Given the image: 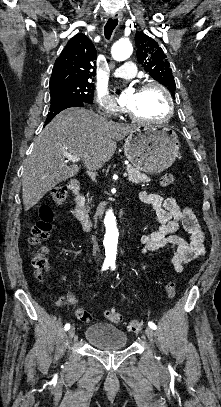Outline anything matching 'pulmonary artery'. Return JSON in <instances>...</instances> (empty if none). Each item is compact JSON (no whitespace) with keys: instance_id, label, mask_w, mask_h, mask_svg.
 <instances>
[{"instance_id":"obj_1","label":"pulmonary artery","mask_w":221,"mask_h":407,"mask_svg":"<svg viewBox=\"0 0 221 407\" xmlns=\"http://www.w3.org/2000/svg\"><path fill=\"white\" fill-rule=\"evenodd\" d=\"M135 64L132 61H125L123 65L118 67L114 72L113 75L116 77L122 78H131L136 73Z\"/></svg>"}]
</instances>
